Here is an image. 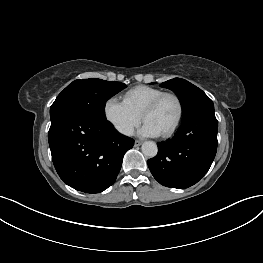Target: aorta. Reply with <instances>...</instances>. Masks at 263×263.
I'll use <instances>...</instances> for the list:
<instances>
[{"label": "aorta", "instance_id": "762f6f07", "mask_svg": "<svg viewBox=\"0 0 263 263\" xmlns=\"http://www.w3.org/2000/svg\"><path fill=\"white\" fill-rule=\"evenodd\" d=\"M142 152L147 157H154L157 155L158 147L157 144L153 141H146L142 144Z\"/></svg>", "mask_w": 263, "mask_h": 263}]
</instances>
